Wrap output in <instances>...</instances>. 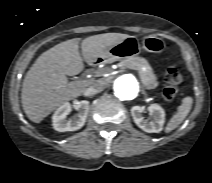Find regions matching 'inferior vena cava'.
I'll list each match as a JSON object with an SVG mask.
<instances>
[{
    "mask_svg": "<svg viewBox=\"0 0 212 183\" xmlns=\"http://www.w3.org/2000/svg\"><path fill=\"white\" fill-rule=\"evenodd\" d=\"M106 82L103 79L94 80L89 88L91 93H99L105 88Z\"/></svg>",
    "mask_w": 212,
    "mask_h": 183,
    "instance_id": "obj_1",
    "label": "inferior vena cava"
}]
</instances>
